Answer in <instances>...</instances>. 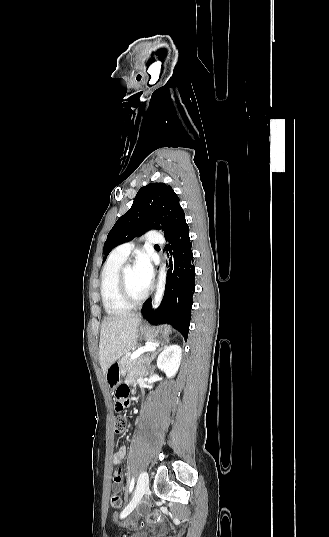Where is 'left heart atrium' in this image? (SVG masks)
I'll return each mask as SVG.
<instances>
[{
	"label": "left heart atrium",
	"mask_w": 329,
	"mask_h": 537,
	"mask_svg": "<svg viewBox=\"0 0 329 537\" xmlns=\"http://www.w3.org/2000/svg\"><path fill=\"white\" fill-rule=\"evenodd\" d=\"M134 269L140 283L148 289L152 280L153 269L150 258L145 252L137 254Z\"/></svg>",
	"instance_id": "left-heart-atrium-1"
}]
</instances>
